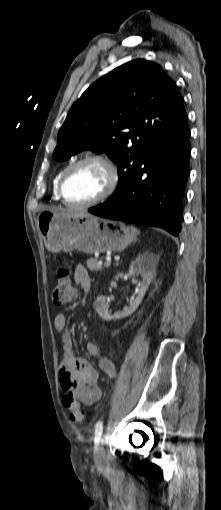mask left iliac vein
<instances>
[{
    "label": "left iliac vein",
    "mask_w": 221,
    "mask_h": 510,
    "mask_svg": "<svg viewBox=\"0 0 221 510\" xmlns=\"http://www.w3.org/2000/svg\"><path fill=\"white\" fill-rule=\"evenodd\" d=\"M94 459L97 466H102L104 460V450L101 443L95 444Z\"/></svg>",
    "instance_id": "left-iliac-vein-1"
}]
</instances>
